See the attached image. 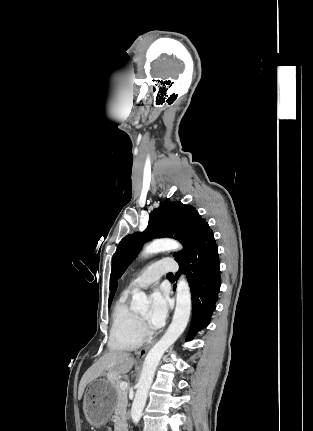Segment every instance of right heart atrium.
Instances as JSON below:
<instances>
[{
  "instance_id": "d8ad5b80",
  "label": "right heart atrium",
  "mask_w": 313,
  "mask_h": 431,
  "mask_svg": "<svg viewBox=\"0 0 313 431\" xmlns=\"http://www.w3.org/2000/svg\"><path fill=\"white\" fill-rule=\"evenodd\" d=\"M140 330H141L142 334H144L146 332V327L142 323H140Z\"/></svg>"
}]
</instances>
